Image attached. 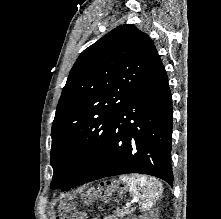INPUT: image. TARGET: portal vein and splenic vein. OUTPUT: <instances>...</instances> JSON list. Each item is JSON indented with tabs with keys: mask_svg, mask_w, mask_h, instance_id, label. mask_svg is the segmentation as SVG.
Wrapping results in <instances>:
<instances>
[{
	"mask_svg": "<svg viewBox=\"0 0 221 219\" xmlns=\"http://www.w3.org/2000/svg\"><path fill=\"white\" fill-rule=\"evenodd\" d=\"M131 206V203H126V207H130Z\"/></svg>",
	"mask_w": 221,
	"mask_h": 219,
	"instance_id": "obj_1",
	"label": "portal vein and splenic vein"
}]
</instances>
